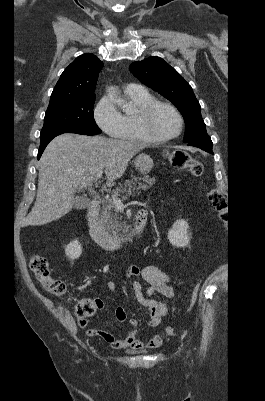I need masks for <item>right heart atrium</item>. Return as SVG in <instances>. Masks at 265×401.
Segmentation results:
<instances>
[{
  "instance_id": "right-heart-atrium-1",
  "label": "right heart atrium",
  "mask_w": 265,
  "mask_h": 401,
  "mask_svg": "<svg viewBox=\"0 0 265 401\" xmlns=\"http://www.w3.org/2000/svg\"><path fill=\"white\" fill-rule=\"evenodd\" d=\"M93 118L97 125L107 134L116 136L122 127L121 113L118 111L113 98L104 95L93 110Z\"/></svg>"
}]
</instances>
